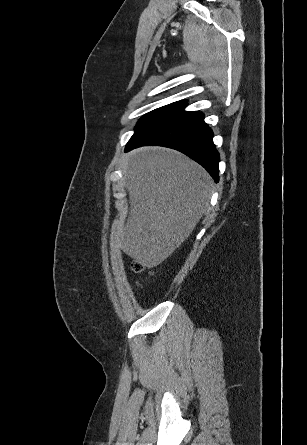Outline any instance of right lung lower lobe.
<instances>
[{
	"instance_id": "obj_1",
	"label": "right lung lower lobe",
	"mask_w": 307,
	"mask_h": 445,
	"mask_svg": "<svg viewBox=\"0 0 307 445\" xmlns=\"http://www.w3.org/2000/svg\"><path fill=\"white\" fill-rule=\"evenodd\" d=\"M183 105L135 133L125 152L134 148L157 145L176 149L199 164L218 182L219 153L213 144V132L200 112L184 111Z\"/></svg>"
}]
</instances>
